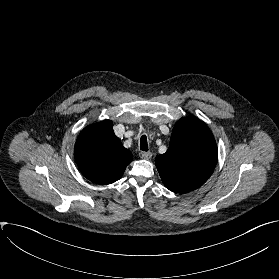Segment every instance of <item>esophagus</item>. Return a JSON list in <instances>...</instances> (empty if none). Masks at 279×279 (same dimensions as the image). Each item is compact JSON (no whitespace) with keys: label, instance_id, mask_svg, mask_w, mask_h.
Returning <instances> with one entry per match:
<instances>
[{"label":"esophagus","instance_id":"34e87169","mask_svg":"<svg viewBox=\"0 0 279 279\" xmlns=\"http://www.w3.org/2000/svg\"><path fill=\"white\" fill-rule=\"evenodd\" d=\"M140 158L142 159H150L152 157V153L151 152H140L139 153Z\"/></svg>","mask_w":279,"mask_h":279}]
</instances>
